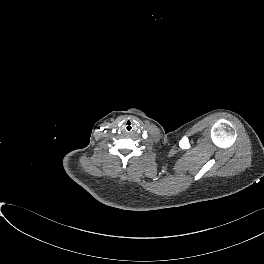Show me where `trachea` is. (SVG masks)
<instances>
[{
	"label": "trachea",
	"mask_w": 264,
	"mask_h": 264,
	"mask_svg": "<svg viewBox=\"0 0 264 264\" xmlns=\"http://www.w3.org/2000/svg\"><path fill=\"white\" fill-rule=\"evenodd\" d=\"M123 131L125 132V133H131L133 130H134V125H133V123L132 122H130V121H127V122H125L124 124H123Z\"/></svg>",
	"instance_id": "obj_1"
}]
</instances>
